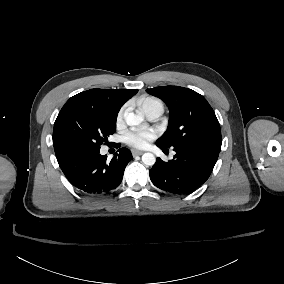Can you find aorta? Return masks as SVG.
<instances>
[{
    "instance_id": "1",
    "label": "aorta",
    "mask_w": 284,
    "mask_h": 284,
    "mask_svg": "<svg viewBox=\"0 0 284 284\" xmlns=\"http://www.w3.org/2000/svg\"><path fill=\"white\" fill-rule=\"evenodd\" d=\"M125 120L129 126H135V125H139L140 123H142L144 120V117L141 114H135L133 112H130V113L125 114ZM142 162L145 165L152 166L155 164L156 158L152 153H149V152L144 153L142 155Z\"/></svg>"
}]
</instances>
